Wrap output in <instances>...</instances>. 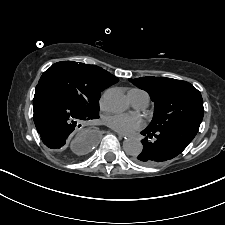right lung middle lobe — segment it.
Returning a JSON list of instances; mask_svg holds the SVG:
<instances>
[{
    "mask_svg": "<svg viewBox=\"0 0 225 225\" xmlns=\"http://www.w3.org/2000/svg\"><path fill=\"white\" fill-rule=\"evenodd\" d=\"M38 85L59 92L80 110L99 116L100 93L105 86L96 81L84 63L62 61L53 64L41 76Z\"/></svg>",
    "mask_w": 225,
    "mask_h": 225,
    "instance_id": "dd1d6c3e",
    "label": "right lung middle lobe"
}]
</instances>
